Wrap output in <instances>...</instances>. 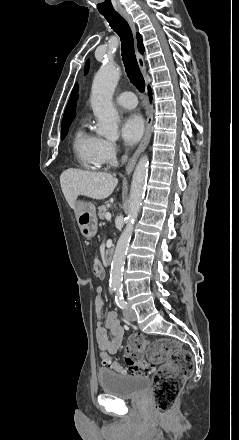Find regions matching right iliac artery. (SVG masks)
Masks as SVG:
<instances>
[{
    "instance_id": "obj_1",
    "label": "right iliac artery",
    "mask_w": 239,
    "mask_h": 440,
    "mask_svg": "<svg viewBox=\"0 0 239 440\" xmlns=\"http://www.w3.org/2000/svg\"><path fill=\"white\" fill-rule=\"evenodd\" d=\"M117 290V288L116 287H110V292L112 293V292H115Z\"/></svg>"
}]
</instances>
